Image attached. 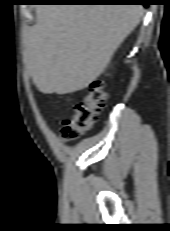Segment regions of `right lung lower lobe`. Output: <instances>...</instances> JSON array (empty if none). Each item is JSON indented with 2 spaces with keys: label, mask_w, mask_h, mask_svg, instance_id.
Instances as JSON below:
<instances>
[{
  "label": "right lung lower lobe",
  "mask_w": 170,
  "mask_h": 231,
  "mask_svg": "<svg viewBox=\"0 0 170 231\" xmlns=\"http://www.w3.org/2000/svg\"><path fill=\"white\" fill-rule=\"evenodd\" d=\"M42 3H140L148 6L147 0H33Z\"/></svg>",
  "instance_id": "obj_1"
}]
</instances>
